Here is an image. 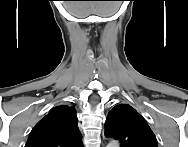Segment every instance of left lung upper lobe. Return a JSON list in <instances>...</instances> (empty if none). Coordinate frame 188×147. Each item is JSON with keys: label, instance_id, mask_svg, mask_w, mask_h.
I'll use <instances>...</instances> for the list:
<instances>
[{"label": "left lung upper lobe", "instance_id": "obj_1", "mask_svg": "<svg viewBox=\"0 0 188 147\" xmlns=\"http://www.w3.org/2000/svg\"><path fill=\"white\" fill-rule=\"evenodd\" d=\"M105 135L118 140L121 147H158L146 120L130 105H116L105 122Z\"/></svg>", "mask_w": 188, "mask_h": 147}]
</instances>
